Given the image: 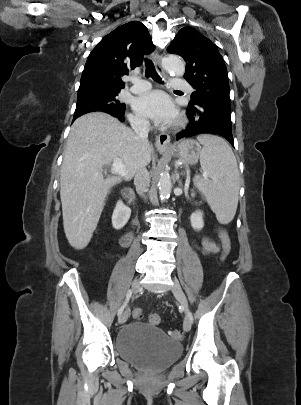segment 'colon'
Instances as JSON below:
<instances>
[{
	"label": "colon",
	"instance_id": "colon-1",
	"mask_svg": "<svg viewBox=\"0 0 301 405\" xmlns=\"http://www.w3.org/2000/svg\"><path fill=\"white\" fill-rule=\"evenodd\" d=\"M217 234H218V237H219V239L221 241V245H222V252H221L220 260L223 262L226 260V258L229 256V254L231 252V240H230L228 233L221 228L217 229ZM133 317L135 319H142L144 317L143 310L141 308H135L133 310ZM147 319L153 325H158L161 322V317L157 313H150L148 315ZM170 335L172 338H174L176 340H180L183 337V334L180 330H173L170 332Z\"/></svg>",
	"mask_w": 301,
	"mask_h": 405
}]
</instances>
